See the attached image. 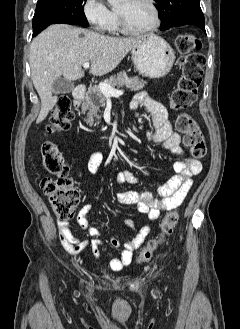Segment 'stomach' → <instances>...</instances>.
Here are the masks:
<instances>
[{
  "mask_svg": "<svg viewBox=\"0 0 240 329\" xmlns=\"http://www.w3.org/2000/svg\"><path fill=\"white\" fill-rule=\"evenodd\" d=\"M132 59L139 74L149 78H161L171 70L175 53L161 37L148 35L132 49Z\"/></svg>",
  "mask_w": 240,
  "mask_h": 329,
  "instance_id": "stomach-1",
  "label": "stomach"
}]
</instances>
